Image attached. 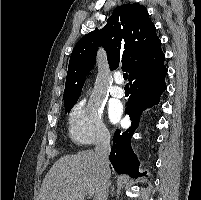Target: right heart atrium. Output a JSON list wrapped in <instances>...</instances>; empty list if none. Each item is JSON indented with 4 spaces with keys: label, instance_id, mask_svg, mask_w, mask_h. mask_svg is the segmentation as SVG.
Returning a JSON list of instances; mask_svg holds the SVG:
<instances>
[{
    "label": "right heart atrium",
    "instance_id": "obj_1",
    "mask_svg": "<svg viewBox=\"0 0 201 200\" xmlns=\"http://www.w3.org/2000/svg\"><path fill=\"white\" fill-rule=\"evenodd\" d=\"M69 135L76 143L103 144L110 138L101 108L93 102L80 101L69 115Z\"/></svg>",
    "mask_w": 201,
    "mask_h": 200
}]
</instances>
